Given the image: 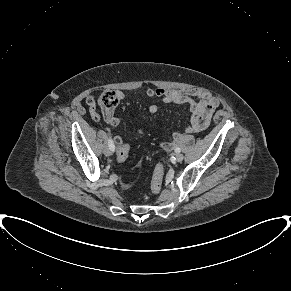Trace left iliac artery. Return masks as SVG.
Instances as JSON below:
<instances>
[{
    "label": "left iliac artery",
    "instance_id": "44dca946",
    "mask_svg": "<svg viewBox=\"0 0 291 291\" xmlns=\"http://www.w3.org/2000/svg\"><path fill=\"white\" fill-rule=\"evenodd\" d=\"M180 151H181V149H180L179 147H176V148H175V152H176V153H179Z\"/></svg>",
    "mask_w": 291,
    "mask_h": 291
}]
</instances>
